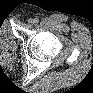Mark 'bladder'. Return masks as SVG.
Instances as JSON below:
<instances>
[{
    "label": "bladder",
    "mask_w": 93,
    "mask_h": 93,
    "mask_svg": "<svg viewBox=\"0 0 93 93\" xmlns=\"http://www.w3.org/2000/svg\"><path fill=\"white\" fill-rule=\"evenodd\" d=\"M0 35H1V42L3 44H12L14 42L12 32L7 27H4L2 29Z\"/></svg>",
    "instance_id": "1"
}]
</instances>
